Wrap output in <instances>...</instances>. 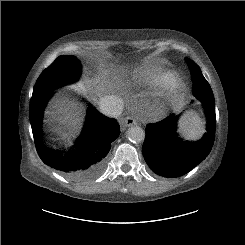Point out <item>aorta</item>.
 I'll use <instances>...</instances> for the list:
<instances>
[{
    "instance_id": "1",
    "label": "aorta",
    "mask_w": 245,
    "mask_h": 245,
    "mask_svg": "<svg viewBox=\"0 0 245 245\" xmlns=\"http://www.w3.org/2000/svg\"><path fill=\"white\" fill-rule=\"evenodd\" d=\"M127 136L131 142L141 143L145 139V132L139 126H133L128 129Z\"/></svg>"
}]
</instances>
